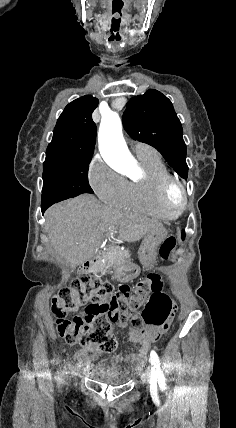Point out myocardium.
<instances>
[{"label":"myocardium","mask_w":236,"mask_h":428,"mask_svg":"<svg viewBox=\"0 0 236 428\" xmlns=\"http://www.w3.org/2000/svg\"><path fill=\"white\" fill-rule=\"evenodd\" d=\"M174 189L179 192L178 200L172 196ZM156 196L162 208L175 214L184 211L188 205V193L184 183L172 176H166L157 181Z\"/></svg>","instance_id":"f54148a6"}]
</instances>
